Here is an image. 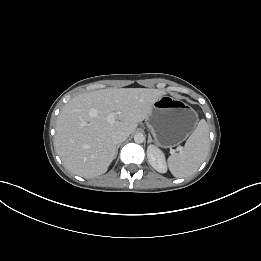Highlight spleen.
<instances>
[{
	"mask_svg": "<svg viewBox=\"0 0 261 261\" xmlns=\"http://www.w3.org/2000/svg\"><path fill=\"white\" fill-rule=\"evenodd\" d=\"M209 130L207 122L201 119L179 153L168 158V167L176 178L193 175L209 152Z\"/></svg>",
	"mask_w": 261,
	"mask_h": 261,
	"instance_id": "3e777b00",
	"label": "spleen"
}]
</instances>
